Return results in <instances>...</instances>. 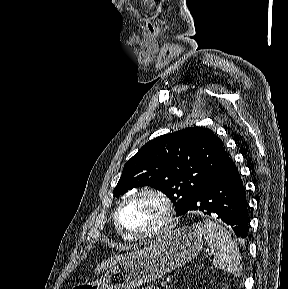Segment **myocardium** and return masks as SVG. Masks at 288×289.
I'll return each mask as SVG.
<instances>
[{"instance_id":"obj_1","label":"myocardium","mask_w":288,"mask_h":289,"mask_svg":"<svg viewBox=\"0 0 288 289\" xmlns=\"http://www.w3.org/2000/svg\"><path fill=\"white\" fill-rule=\"evenodd\" d=\"M142 195H150L158 198L164 206L165 218L163 224L157 229L145 232V233H134L125 228L122 223V212L125 207L134 199ZM115 222L119 231L127 238L132 240H147L155 239L169 233L176 225V208L173 201L162 191L154 188H141L129 196H127L118 206L115 213Z\"/></svg>"}]
</instances>
